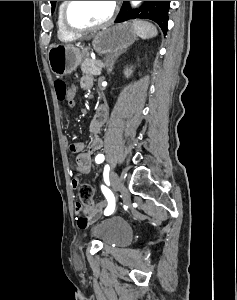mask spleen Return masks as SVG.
<instances>
[{
  "label": "spleen",
  "instance_id": "1",
  "mask_svg": "<svg viewBox=\"0 0 237 300\" xmlns=\"http://www.w3.org/2000/svg\"><path fill=\"white\" fill-rule=\"evenodd\" d=\"M133 29L140 39H152L158 33L155 25L148 23V21H139V19L133 21Z\"/></svg>",
  "mask_w": 237,
  "mask_h": 300
}]
</instances>
